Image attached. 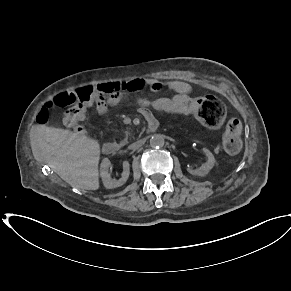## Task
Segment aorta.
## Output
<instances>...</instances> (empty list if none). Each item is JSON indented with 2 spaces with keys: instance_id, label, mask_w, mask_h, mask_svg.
<instances>
[{
  "instance_id": "762f6f07",
  "label": "aorta",
  "mask_w": 291,
  "mask_h": 291,
  "mask_svg": "<svg viewBox=\"0 0 291 291\" xmlns=\"http://www.w3.org/2000/svg\"><path fill=\"white\" fill-rule=\"evenodd\" d=\"M165 143L164 137L161 134H154L150 139V145L152 147H162Z\"/></svg>"
}]
</instances>
